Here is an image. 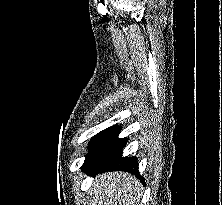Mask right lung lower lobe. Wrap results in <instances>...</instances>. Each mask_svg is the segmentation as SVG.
<instances>
[{"label":"right lung lower lobe","mask_w":222,"mask_h":205,"mask_svg":"<svg viewBox=\"0 0 222 205\" xmlns=\"http://www.w3.org/2000/svg\"><path fill=\"white\" fill-rule=\"evenodd\" d=\"M120 129L119 126L107 128L91 140L88 155L82 166L84 172L93 174L122 170L139 175L137 159L122 157L127 138H118ZM138 177L144 182L143 177Z\"/></svg>","instance_id":"right-lung-lower-lobe-1"}]
</instances>
